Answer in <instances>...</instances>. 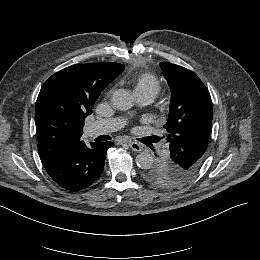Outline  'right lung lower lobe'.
Wrapping results in <instances>:
<instances>
[{
	"mask_svg": "<svg viewBox=\"0 0 260 260\" xmlns=\"http://www.w3.org/2000/svg\"><path fill=\"white\" fill-rule=\"evenodd\" d=\"M112 146V142H92L87 146L83 141L45 169L53 181L66 190L86 189L102 174L106 152Z\"/></svg>",
	"mask_w": 260,
	"mask_h": 260,
	"instance_id": "98d812e1",
	"label": "right lung lower lobe"
}]
</instances>
